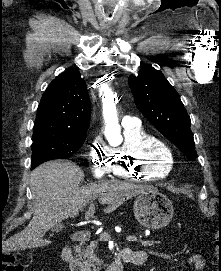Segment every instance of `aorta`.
Here are the masks:
<instances>
[{
	"instance_id": "1",
	"label": "aorta",
	"mask_w": 221,
	"mask_h": 271,
	"mask_svg": "<svg viewBox=\"0 0 221 271\" xmlns=\"http://www.w3.org/2000/svg\"><path fill=\"white\" fill-rule=\"evenodd\" d=\"M106 108H105V119L112 123L113 126L117 129V131L120 130L118 125V119H117V112L116 107L114 104V101L112 99L111 95H108L105 100Z\"/></svg>"
}]
</instances>
